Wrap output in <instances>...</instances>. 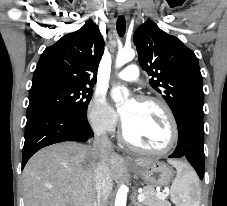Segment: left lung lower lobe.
<instances>
[{
    "mask_svg": "<svg viewBox=\"0 0 227 206\" xmlns=\"http://www.w3.org/2000/svg\"><path fill=\"white\" fill-rule=\"evenodd\" d=\"M177 126L178 144L169 158H186L202 180L204 176L203 115L197 112L186 113Z\"/></svg>",
    "mask_w": 227,
    "mask_h": 206,
    "instance_id": "0a47b994",
    "label": "left lung lower lobe"
}]
</instances>
